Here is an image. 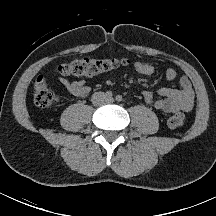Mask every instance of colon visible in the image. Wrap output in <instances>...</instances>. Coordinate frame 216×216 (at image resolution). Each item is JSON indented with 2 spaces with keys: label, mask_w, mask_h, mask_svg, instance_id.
<instances>
[{
  "label": "colon",
  "mask_w": 216,
  "mask_h": 216,
  "mask_svg": "<svg viewBox=\"0 0 216 216\" xmlns=\"http://www.w3.org/2000/svg\"><path fill=\"white\" fill-rule=\"evenodd\" d=\"M124 64L123 60L115 58H80L58 67V73L65 76L93 77L113 70ZM34 102L40 108H49L56 102L54 92L49 88L43 76L37 77L34 83ZM185 121L182 113L172 115L168 120L171 129L180 128Z\"/></svg>",
  "instance_id": "1"
}]
</instances>
